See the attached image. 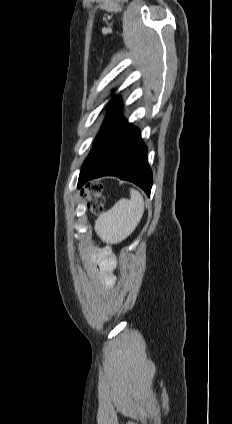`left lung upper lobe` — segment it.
I'll list each match as a JSON object with an SVG mask.
<instances>
[{
  "mask_svg": "<svg viewBox=\"0 0 232 424\" xmlns=\"http://www.w3.org/2000/svg\"><path fill=\"white\" fill-rule=\"evenodd\" d=\"M119 108H120V101L119 100H116L113 103L112 107L110 108V111L108 113V116H107L106 121H108L111 118H113L116 115V113L118 112Z\"/></svg>",
  "mask_w": 232,
  "mask_h": 424,
  "instance_id": "1",
  "label": "left lung upper lobe"
}]
</instances>
